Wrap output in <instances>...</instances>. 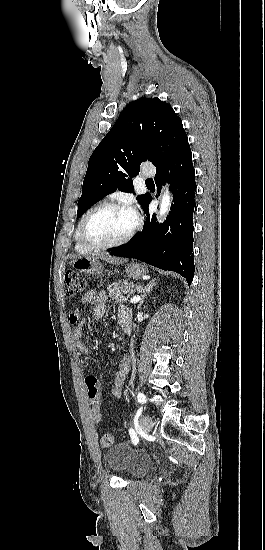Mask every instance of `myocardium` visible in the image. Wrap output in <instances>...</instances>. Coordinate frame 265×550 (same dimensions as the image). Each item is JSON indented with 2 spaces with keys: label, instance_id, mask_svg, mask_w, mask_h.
<instances>
[{
  "label": "myocardium",
  "instance_id": "1",
  "mask_svg": "<svg viewBox=\"0 0 265 550\" xmlns=\"http://www.w3.org/2000/svg\"><path fill=\"white\" fill-rule=\"evenodd\" d=\"M109 208L123 209V210H128V211L132 212L135 215V218H136L135 225L128 232V234H126L123 238H121L117 241H113V242H110V243H97V242L91 241L90 239H88V237L86 236V233H85V229H86V225H87L88 221L97 212L105 210V209H109ZM140 227H141V220H140L139 216L136 214V212L132 209L131 206H129L125 202H121V201H106V202L100 203V204L96 205L95 207L91 208L83 216V218L81 219V221L79 223V226H78V236H79L80 242L86 248H88L90 250H105V249L118 247V246H121V245L129 242L135 236V234L139 231Z\"/></svg>",
  "mask_w": 265,
  "mask_h": 550
}]
</instances>
